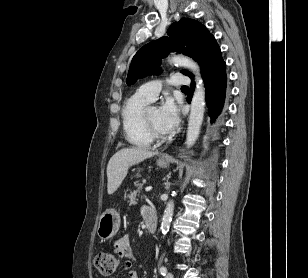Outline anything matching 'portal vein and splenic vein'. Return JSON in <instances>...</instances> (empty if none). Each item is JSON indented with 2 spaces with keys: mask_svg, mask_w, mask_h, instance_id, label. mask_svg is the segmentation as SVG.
Here are the masks:
<instances>
[{
  "mask_svg": "<svg viewBox=\"0 0 308 278\" xmlns=\"http://www.w3.org/2000/svg\"><path fill=\"white\" fill-rule=\"evenodd\" d=\"M146 192H149V191H151L152 190V187L151 186H149V187H146Z\"/></svg>",
  "mask_w": 308,
  "mask_h": 278,
  "instance_id": "portal-vein-and-splenic-vein-1",
  "label": "portal vein and splenic vein"
}]
</instances>
